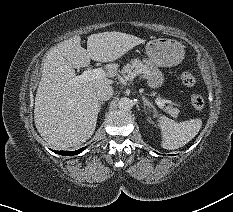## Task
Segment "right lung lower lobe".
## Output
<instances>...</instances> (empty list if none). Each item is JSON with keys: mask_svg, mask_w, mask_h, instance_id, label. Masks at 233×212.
<instances>
[{"mask_svg": "<svg viewBox=\"0 0 233 212\" xmlns=\"http://www.w3.org/2000/svg\"><path fill=\"white\" fill-rule=\"evenodd\" d=\"M85 149L84 148H81V149H78L76 151H54L55 153H58V154H61V155H65V156H68V155H76V154H79L81 153L83 150Z\"/></svg>", "mask_w": 233, "mask_h": 212, "instance_id": "1", "label": "right lung lower lobe"}]
</instances>
